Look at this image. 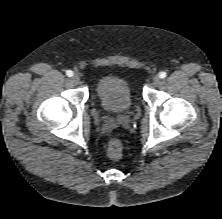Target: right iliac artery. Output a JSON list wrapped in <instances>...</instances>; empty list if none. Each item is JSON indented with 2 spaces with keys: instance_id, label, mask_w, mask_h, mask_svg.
<instances>
[{
  "instance_id": "obj_1",
  "label": "right iliac artery",
  "mask_w": 222,
  "mask_h": 219,
  "mask_svg": "<svg viewBox=\"0 0 222 219\" xmlns=\"http://www.w3.org/2000/svg\"><path fill=\"white\" fill-rule=\"evenodd\" d=\"M66 75H67L68 77H72V76H73V72H72L71 70H68V71L66 72Z\"/></svg>"
}]
</instances>
